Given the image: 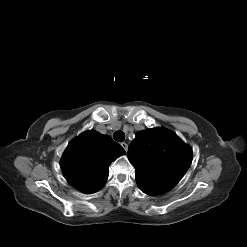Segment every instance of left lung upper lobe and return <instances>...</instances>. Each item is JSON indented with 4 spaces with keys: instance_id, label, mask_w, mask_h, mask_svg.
<instances>
[{
    "instance_id": "left-lung-upper-lobe-1",
    "label": "left lung upper lobe",
    "mask_w": 247,
    "mask_h": 247,
    "mask_svg": "<svg viewBox=\"0 0 247 247\" xmlns=\"http://www.w3.org/2000/svg\"><path fill=\"white\" fill-rule=\"evenodd\" d=\"M127 155L139 188L151 196L171 190L192 162L190 146L164 128L138 132Z\"/></svg>"
}]
</instances>
